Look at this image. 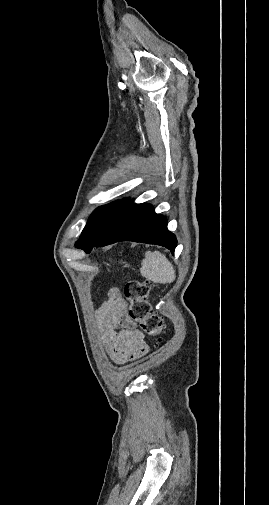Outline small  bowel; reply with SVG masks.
Returning <instances> with one entry per match:
<instances>
[{
  "label": "small bowel",
  "instance_id": "obj_1",
  "mask_svg": "<svg viewBox=\"0 0 269 505\" xmlns=\"http://www.w3.org/2000/svg\"><path fill=\"white\" fill-rule=\"evenodd\" d=\"M97 321L111 359L117 364L136 360L148 351L144 334L136 329L119 290H110L97 311Z\"/></svg>",
  "mask_w": 269,
  "mask_h": 505
}]
</instances>
